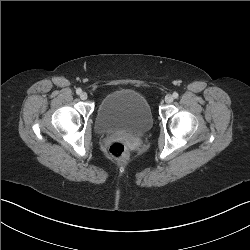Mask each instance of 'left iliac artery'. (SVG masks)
Segmentation results:
<instances>
[{
  "label": "left iliac artery",
  "instance_id": "left-iliac-artery-1",
  "mask_svg": "<svg viewBox=\"0 0 250 250\" xmlns=\"http://www.w3.org/2000/svg\"><path fill=\"white\" fill-rule=\"evenodd\" d=\"M178 96H179V95H178L177 92H174V93H173V97H174L175 99L178 98Z\"/></svg>",
  "mask_w": 250,
  "mask_h": 250
}]
</instances>
